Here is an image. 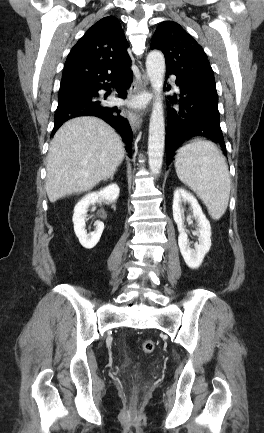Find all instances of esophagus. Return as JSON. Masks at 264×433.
<instances>
[{"label":"esophagus","mask_w":264,"mask_h":433,"mask_svg":"<svg viewBox=\"0 0 264 433\" xmlns=\"http://www.w3.org/2000/svg\"><path fill=\"white\" fill-rule=\"evenodd\" d=\"M147 86H148V77L146 75H143L140 81L134 80L130 87L128 98L129 99L134 98L142 90H145ZM127 116L132 129L134 131L138 130L141 126V120H142L141 113L139 111L127 110Z\"/></svg>","instance_id":"1"}]
</instances>
